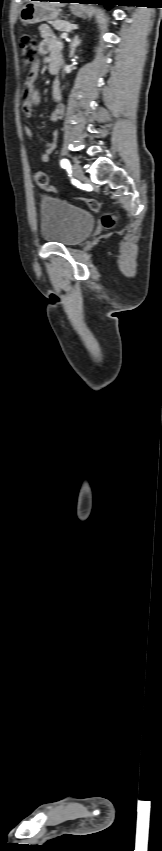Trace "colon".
<instances>
[{
  "label": "colon",
  "instance_id": "colon-1",
  "mask_svg": "<svg viewBox=\"0 0 162 851\" xmlns=\"http://www.w3.org/2000/svg\"><path fill=\"white\" fill-rule=\"evenodd\" d=\"M19 47L24 66L28 71H30L36 63V55L38 52V46L35 37L31 34H23L20 37ZM34 180L37 186L41 189H45L52 193H57L56 189L50 185L49 177L45 172L37 171L34 174ZM77 202L86 205L93 211H97L100 208V203L95 199L80 198L77 200ZM102 221L106 227H111L116 223V218L112 214H105L102 218Z\"/></svg>",
  "mask_w": 162,
  "mask_h": 851
}]
</instances>
